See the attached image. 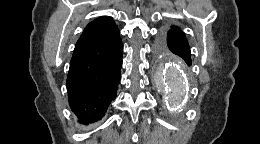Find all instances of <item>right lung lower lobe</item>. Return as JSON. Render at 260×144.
Returning <instances> with one entry per match:
<instances>
[{"mask_svg":"<svg viewBox=\"0 0 260 144\" xmlns=\"http://www.w3.org/2000/svg\"><path fill=\"white\" fill-rule=\"evenodd\" d=\"M123 45L112 39L76 46L67 77L69 105L82 124L100 120L116 98Z\"/></svg>","mask_w":260,"mask_h":144,"instance_id":"1","label":"right lung lower lobe"}]
</instances>
